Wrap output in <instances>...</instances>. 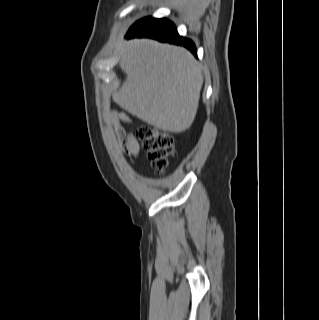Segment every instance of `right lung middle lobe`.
I'll use <instances>...</instances> for the list:
<instances>
[{
  "mask_svg": "<svg viewBox=\"0 0 319 320\" xmlns=\"http://www.w3.org/2000/svg\"><path fill=\"white\" fill-rule=\"evenodd\" d=\"M150 18H144V19H141V20H139V21H137L131 28H135V27H137V26H139V25H141L142 23H144V22H146L147 20H149Z\"/></svg>",
  "mask_w": 319,
  "mask_h": 320,
  "instance_id": "obj_1",
  "label": "right lung middle lobe"
}]
</instances>
